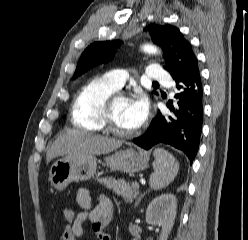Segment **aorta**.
Segmentation results:
<instances>
[{"instance_id":"aorta-1","label":"aorta","mask_w":248,"mask_h":240,"mask_svg":"<svg viewBox=\"0 0 248 240\" xmlns=\"http://www.w3.org/2000/svg\"><path fill=\"white\" fill-rule=\"evenodd\" d=\"M143 51L148 53V54H157L159 53L158 49L153 46V45H150V44H147V45H144L142 47Z\"/></svg>"}]
</instances>
